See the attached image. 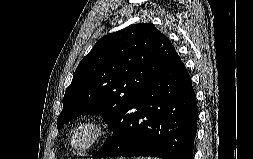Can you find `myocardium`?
<instances>
[{
	"instance_id": "1",
	"label": "myocardium",
	"mask_w": 253,
	"mask_h": 159,
	"mask_svg": "<svg viewBox=\"0 0 253 159\" xmlns=\"http://www.w3.org/2000/svg\"><path fill=\"white\" fill-rule=\"evenodd\" d=\"M84 127H92L93 134L85 144L77 145V136ZM109 134L110 125L103 117L94 114L87 115L77 120L72 126L68 136L69 147L75 154L83 155L102 142Z\"/></svg>"
}]
</instances>
